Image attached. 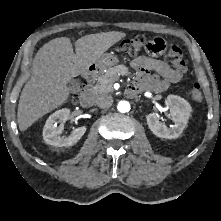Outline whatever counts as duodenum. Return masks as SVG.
Here are the masks:
<instances>
[{
    "label": "duodenum",
    "mask_w": 221,
    "mask_h": 221,
    "mask_svg": "<svg viewBox=\"0 0 221 221\" xmlns=\"http://www.w3.org/2000/svg\"><path fill=\"white\" fill-rule=\"evenodd\" d=\"M98 72V68L95 65H91L86 71L83 79V86L80 93V101L83 105L87 106L92 101V91H91V82L94 79L95 75ZM129 95L134 94V90L129 88L127 90Z\"/></svg>",
    "instance_id": "obj_1"
}]
</instances>
